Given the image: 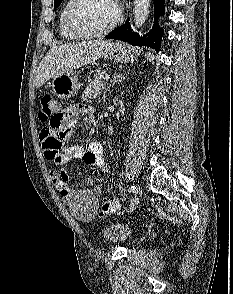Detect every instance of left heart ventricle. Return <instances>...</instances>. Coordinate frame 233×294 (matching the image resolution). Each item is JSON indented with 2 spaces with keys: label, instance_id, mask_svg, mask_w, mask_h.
Masks as SVG:
<instances>
[{
  "label": "left heart ventricle",
  "instance_id": "1",
  "mask_svg": "<svg viewBox=\"0 0 233 294\" xmlns=\"http://www.w3.org/2000/svg\"><path fill=\"white\" fill-rule=\"evenodd\" d=\"M115 5L110 0H82L73 13L74 24L82 31L104 29L114 19Z\"/></svg>",
  "mask_w": 233,
  "mask_h": 294
}]
</instances>
